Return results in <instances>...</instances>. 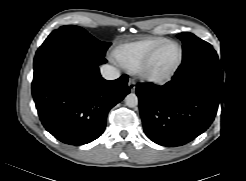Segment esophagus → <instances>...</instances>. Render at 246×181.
I'll return each instance as SVG.
<instances>
[{"label": "esophagus", "mask_w": 246, "mask_h": 181, "mask_svg": "<svg viewBox=\"0 0 246 181\" xmlns=\"http://www.w3.org/2000/svg\"><path fill=\"white\" fill-rule=\"evenodd\" d=\"M128 86H129L131 91H134L135 90V82H134V80L129 79Z\"/></svg>", "instance_id": "esophagus-1"}]
</instances>
